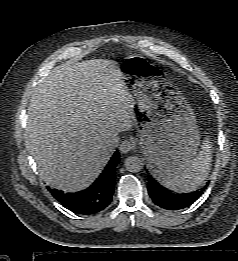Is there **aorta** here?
Returning <instances> with one entry per match:
<instances>
[{
	"label": "aorta",
	"mask_w": 238,
	"mask_h": 261,
	"mask_svg": "<svg viewBox=\"0 0 238 261\" xmlns=\"http://www.w3.org/2000/svg\"><path fill=\"white\" fill-rule=\"evenodd\" d=\"M125 168L131 173L139 172L143 167V161L136 156H129L125 160Z\"/></svg>",
	"instance_id": "obj_1"
}]
</instances>
